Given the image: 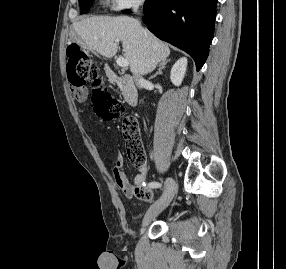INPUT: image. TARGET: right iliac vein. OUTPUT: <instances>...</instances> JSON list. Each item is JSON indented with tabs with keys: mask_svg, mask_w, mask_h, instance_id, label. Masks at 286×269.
<instances>
[{
	"mask_svg": "<svg viewBox=\"0 0 286 269\" xmlns=\"http://www.w3.org/2000/svg\"><path fill=\"white\" fill-rule=\"evenodd\" d=\"M165 185V190L162 196L150 206L144 215L142 221L143 227L147 226L157 215H159L173 199L177 190L175 181L172 178H167Z\"/></svg>",
	"mask_w": 286,
	"mask_h": 269,
	"instance_id": "1",
	"label": "right iliac vein"
}]
</instances>
